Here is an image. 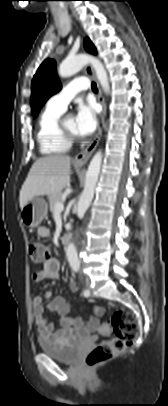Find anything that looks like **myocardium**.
<instances>
[{
    "mask_svg": "<svg viewBox=\"0 0 168 406\" xmlns=\"http://www.w3.org/2000/svg\"><path fill=\"white\" fill-rule=\"evenodd\" d=\"M64 119H65V118L59 119V123H58L59 130H60L61 134H62L67 140H69L70 142H71V141H74V140L76 139L77 135H76L75 133L70 132L69 130H67V129L65 128V126H64Z\"/></svg>",
    "mask_w": 168,
    "mask_h": 406,
    "instance_id": "1",
    "label": "myocardium"
}]
</instances>
